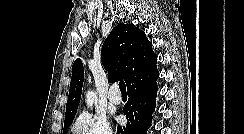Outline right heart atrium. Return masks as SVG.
<instances>
[{"mask_svg": "<svg viewBox=\"0 0 244 134\" xmlns=\"http://www.w3.org/2000/svg\"><path fill=\"white\" fill-rule=\"evenodd\" d=\"M78 134H113L105 115L100 113H81L76 122Z\"/></svg>", "mask_w": 244, "mask_h": 134, "instance_id": "right-heart-atrium-1", "label": "right heart atrium"}]
</instances>
